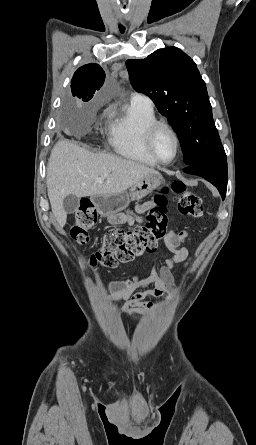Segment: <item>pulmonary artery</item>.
Wrapping results in <instances>:
<instances>
[{
	"mask_svg": "<svg viewBox=\"0 0 256 445\" xmlns=\"http://www.w3.org/2000/svg\"><path fill=\"white\" fill-rule=\"evenodd\" d=\"M131 102L137 103V104H142V105H149V106H152V104H153L152 100L148 96H146L144 94H139V93H136L132 96Z\"/></svg>",
	"mask_w": 256,
	"mask_h": 445,
	"instance_id": "obj_1",
	"label": "pulmonary artery"
}]
</instances>
